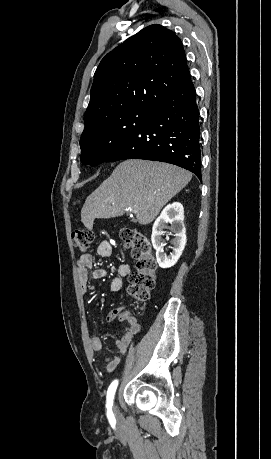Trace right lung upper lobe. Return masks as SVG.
I'll list each match as a JSON object with an SVG mask.
<instances>
[{
	"mask_svg": "<svg viewBox=\"0 0 271 459\" xmlns=\"http://www.w3.org/2000/svg\"><path fill=\"white\" fill-rule=\"evenodd\" d=\"M191 81L181 40L161 25H150L100 62L84 122L158 102Z\"/></svg>",
	"mask_w": 271,
	"mask_h": 459,
	"instance_id": "right-lung-upper-lobe-1",
	"label": "right lung upper lobe"
}]
</instances>
